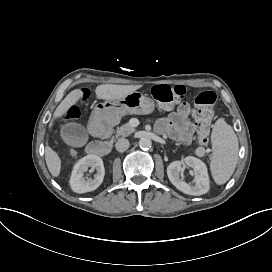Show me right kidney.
<instances>
[{"mask_svg":"<svg viewBox=\"0 0 272 272\" xmlns=\"http://www.w3.org/2000/svg\"><path fill=\"white\" fill-rule=\"evenodd\" d=\"M92 167V171H96L94 179H83L84 173L88 168ZM105 175V168L103 160L97 155H86L74 165L71 172L69 185L74 193L83 194L96 190L103 182Z\"/></svg>","mask_w":272,"mask_h":272,"instance_id":"right-kidney-1","label":"right kidney"}]
</instances>
